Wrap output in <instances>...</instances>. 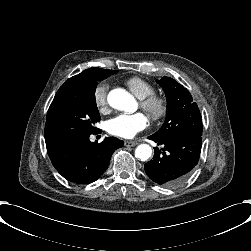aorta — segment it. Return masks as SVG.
<instances>
[{
	"label": "aorta",
	"instance_id": "762f6f07",
	"mask_svg": "<svg viewBox=\"0 0 251 251\" xmlns=\"http://www.w3.org/2000/svg\"><path fill=\"white\" fill-rule=\"evenodd\" d=\"M108 103L114 109L133 112L135 108L134 98L123 89H113L107 97ZM152 155V148L148 144H140L135 149V157L141 161L148 160Z\"/></svg>",
	"mask_w": 251,
	"mask_h": 251
}]
</instances>
